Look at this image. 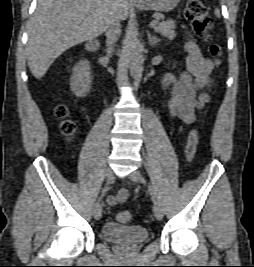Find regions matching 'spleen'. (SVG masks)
Segmentation results:
<instances>
[{
    "mask_svg": "<svg viewBox=\"0 0 254 267\" xmlns=\"http://www.w3.org/2000/svg\"><path fill=\"white\" fill-rule=\"evenodd\" d=\"M214 13L217 17H220V11L218 9H215Z\"/></svg>",
    "mask_w": 254,
    "mask_h": 267,
    "instance_id": "3e777b00",
    "label": "spleen"
}]
</instances>
